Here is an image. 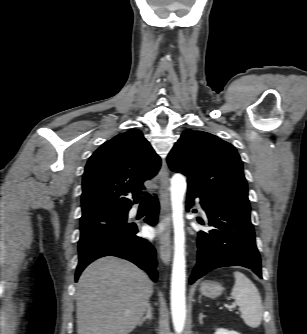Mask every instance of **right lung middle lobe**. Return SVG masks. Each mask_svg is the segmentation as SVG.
I'll list each match as a JSON object with an SVG mask.
<instances>
[{"label":"right lung middle lobe","mask_w":307,"mask_h":334,"mask_svg":"<svg viewBox=\"0 0 307 334\" xmlns=\"http://www.w3.org/2000/svg\"><path fill=\"white\" fill-rule=\"evenodd\" d=\"M128 212H99L80 218V240L78 249L83 250L93 242L110 235H117L132 228L127 223Z\"/></svg>","instance_id":"right-lung-middle-lobe-1"}]
</instances>
